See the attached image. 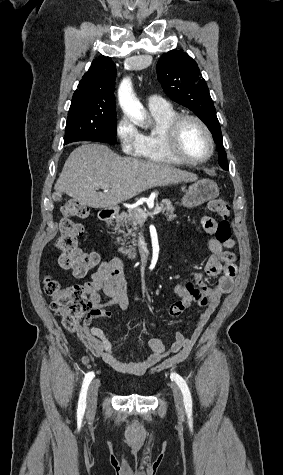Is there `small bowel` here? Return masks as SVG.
Here are the masks:
<instances>
[{
	"mask_svg": "<svg viewBox=\"0 0 283 475\" xmlns=\"http://www.w3.org/2000/svg\"><path fill=\"white\" fill-rule=\"evenodd\" d=\"M200 225L204 231L210 232L211 236L217 235V227L210 216H203ZM234 244L233 239H224L223 243L216 239H209L207 242L211 256L203 272L195 273V278L201 281L205 275L217 277V281L213 287L202 285L200 291L197 292V300L193 303L204 309L189 336L177 333L169 346H166L160 337H152L148 340L151 354L140 360L126 361L116 355L109 337L101 328L96 327L108 324L107 317L110 313L105 310L107 305H118L123 310L130 307L124 263L120 259H110L99 265L84 286L94 311L86 313L87 319L77 331L78 338L95 357L108 364L113 370L126 375L143 376L149 368L158 363H162L163 367H170L183 361L189 356L223 296L233 289L237 266L235 255L228 248H233ZM185 287L186 284H177L174 288L175 295L184 293ZM102 294L107 300L102 299Z\"/></svg>",
	"mask_w": 283,
	"mask_h": 475,
	"instance_id": "obj_1",
	"label": "small bowel"
}]
</instances>
